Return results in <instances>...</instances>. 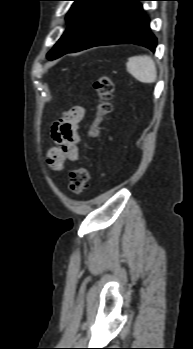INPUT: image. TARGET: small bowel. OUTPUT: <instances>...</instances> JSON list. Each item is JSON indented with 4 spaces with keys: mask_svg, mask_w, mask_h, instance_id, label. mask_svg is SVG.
Segmentation results:
<instances>
[{
    "mask_svg": "<svg viewBox=\"0 0 193 349\" xmlns=\"http://www.w3.org/2000/svg\"><path fill=\"white\" fill-rule=\"evenodd\" d=\"M83 106H75L53 123L51 137L54 146L47 153V162L53 170H61L66 160L79 159L78 145L81 138L78 129L85 118Z\"/></svg>",
    "mask_w": 193,
    "mask_h": 349,
    "instance_id": "small-bowel-1",
    "label": "small bowel"
}]
</instances>
